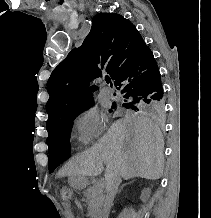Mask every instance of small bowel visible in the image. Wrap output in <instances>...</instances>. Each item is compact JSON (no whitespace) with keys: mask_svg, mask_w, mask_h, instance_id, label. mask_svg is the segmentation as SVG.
I'll use <instances>...</instances> for the list:
<instances>
[{"mask_svg":"<svg viewBox=\"0 0 211 218\" xmlns=\"http://www.w3.org/2000/svg\"><path fill=\"white\" fill-rule=\"evenodd\" d=\"M75 204L78 206V207H80L81 205L78 203V202H75Z\"/></svg>","mask_w":211,"mask_h":218,"instance_id":"c3829d8e","label":"small bowel"}]
</instances>
